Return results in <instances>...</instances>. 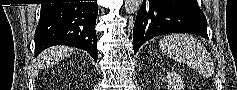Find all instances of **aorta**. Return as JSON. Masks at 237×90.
Wrapping results in <instances>:
<instances>
[{
    "label": "aorta",
    "instance_id": "762f6f07",
    "mask_svg": "<svg viewBox=\"0 0 237 90\" xmlns=\"http://www.w3.org/2000/svg\"><path fill=\"white\" fill-rule=\"evenodd\" d=\"M143 0H125L124 10L126 14H136L141 8Z\"/></svg>",
    "mask_w": 237,
    "mask_h": 90
}]
</instances>
